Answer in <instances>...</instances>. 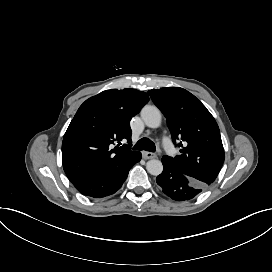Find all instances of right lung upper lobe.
<instances>
[{
  "label": "right lung upper lobe",
  "instance_id": "1",
  "mask_svg": "<svg viewBox=\"0 0 272 272\" xmlns=\"http://www.w3.org/2000/svg\"><path fill=\"white\" fill-rule=\"evenodd\" d=\"M148 101V95L136 89H111L80 106L62 142L63 168L72 183L104 172L137 152L130 145H119L122 140L131 141L130 120Z\"/></svg>",
  "mask_w": 272,
  "mask_h": 272
}]
</instances>
